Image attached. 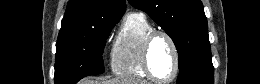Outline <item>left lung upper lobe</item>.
Returning a JSON list of instances; mask_svg holds the SVG:
<instances>
[{
	"label": "left lung upper lobe",
	"instance_id": "1",
	"mask_svg": "<svg viewBox=\"0 0 260 84\" xmlns=\"http://www.w3.org/2000/svg\"><path fill=\"white\" fill-rule=\"evenodd\" d=\"M173 40L179 54L177 84H213L207 19L200 0H128Z\"/></svg>",
	"mask_w": 260,
	"mask_h": 84
}]
</instances>
